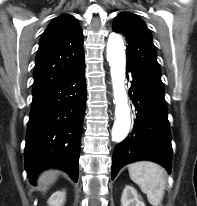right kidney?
Here are the masks:
<instances>
[{"mask_svg": "<svg viewBox=\"0 0 197 206\" xmlns=\"http://www.w3.org/2000/svg\"><path fill=\"white\" fill-rule=\"evenodd\" d=\"M65 192L64 191H56L51 195L48 199L49 206H62L65 201Z\"/></svg>", "mask_w": 197, "mask_h": 206, "instance_id": "obj_1", "label": "right kidney"}]
</instances>
